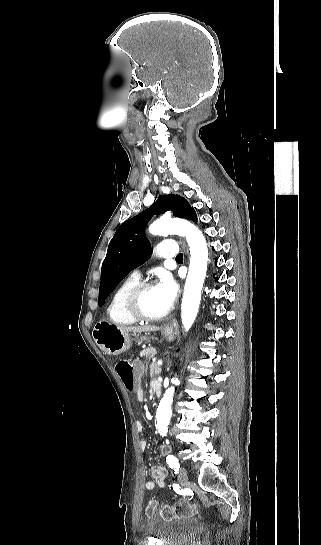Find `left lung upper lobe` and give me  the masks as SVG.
I'll use <instances>...</instances> for the list:
<instances>
[{
	"instance_id": "1",
	"label": "left lung upper lobe",
	"mask_w": 321,
	"mask_h": 545,
	"mask_svg": "<svg viewBox=\"0 0 321 545\" xmlns=\"http://www.w3.org/2000/svg\"><path fill=\"white\" fill-rule=\"evenodd\" d=\"M168 210H173L174 216L189 220L195 214L185 198L170 194L160 196L149 209L125 221L117 229L102 264L99 306L130 271L147 260L150 243L145 236V226L154 214H162Z\"/></svg>"
}]
</instances>
